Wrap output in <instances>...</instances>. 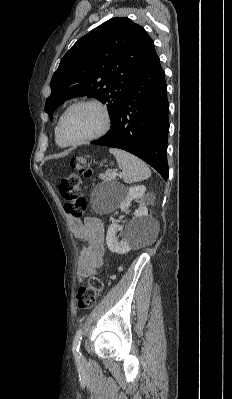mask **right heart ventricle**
I'll return each instance as SVG.
<instances>
[{
    "instance_id": "right-heart-ventricle-1",
    "label": "right heart ventricle",
    "mask_w": 232,
    "mask_h": 399,
    "mask_svg": "<svg viewBox=\"0 0 232 399\" xmlns=\"http://www.w3.org/2000/svg\"><path fill=\"white\" fill-rule=\"evenodd\" d=\"M54 136H55V142L56 144L61 147V148H68L70 145L66 144L60 137L59 133H58V122L55 125V129H54Z\"/></svg>"
}]
</instances>
